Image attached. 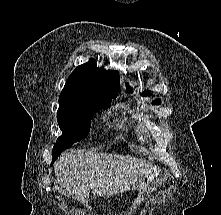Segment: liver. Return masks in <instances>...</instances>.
<instances>
[{"mask_svg": "<svg viewBox=\"0 0 221 215\" xmlns=\"http://www.w3.org/2000/svg\"><path fill=\"white\" fill-rule=\"evenodd\" d=\"M148 166L129 155L71 150L59 157L54 172L63 192L86 206L90 190L94 196L111 197L138 189Z\"/></svg>", "mask_w": 221, "mask_h": 215, "instance_id": "6515ba94", "label": "liver"}]
</instances>
